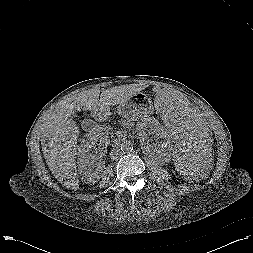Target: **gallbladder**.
Segmentation results:
<instances>
[{
    "mask_svg": "<svg viewBox=\"0 0 253 253\" xmlns=\"http://www.w3.org/2000/svg\"><path fill=\"white\" fill-rule=\"evenodd\" d=\"M88 121H90V120H83L82 122H81V126L83 127V128H85V124L88 122Z\"/></svg>",
    "mask_w": 253,
    "mask_h": 253,
    "instance_id": "1",
    "label": "gallbladder"
}]
</instances>
